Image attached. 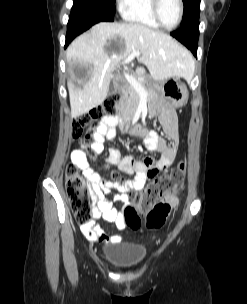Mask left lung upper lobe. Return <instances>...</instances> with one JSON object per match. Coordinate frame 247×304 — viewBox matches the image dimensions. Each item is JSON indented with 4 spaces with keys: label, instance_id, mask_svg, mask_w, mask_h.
Returning a JSON list of instances; mask_svg holds the SVG:
<instances>
[{
    "label": "left lung upper lobe",
    "instance_id": "left-lung-upper-lobe-1",
    "mask_svg": "<svg viewBox=\"0 0 247 304\" xmlns=\"http://www.w3.org/2000/svg\"><path fill=\"white\" fill-rule=\"evenodd\" d=\"M184 12L181 26L199 21L200 0H183Z\"/></svg>",
    "mask_w": 247,
    "mask_h": 304
}]
</instances>
